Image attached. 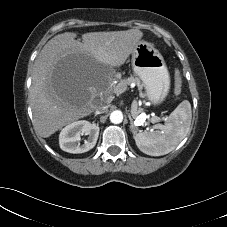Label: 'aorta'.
Instances as JSON below:
<instances>
[{
    "instance_id": "obj_1",
    "label": "aorta",
    "mask_w": 227,
    "mask_h": 227,
    "mask_svg": "<svg viewBox=\"0 0 227 227\" xmlns=\"http://www.w3.org/2000/svg\"><path fill=\"white\" fill-rule=\"evenodd\" d=\"M110 121L113 124H120L123 121V114L119 110H115L110 114Z\"/></svg>"
}]
</instances>
